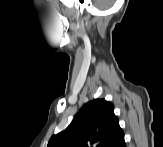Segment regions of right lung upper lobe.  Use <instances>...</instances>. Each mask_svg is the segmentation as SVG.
I'll use <instances>...</instances> for the list:
<instances>
[{
  "label": "right lung upper lobe",
  "mask_w": 163,
  "mask_h": 147,
  "mask_svg": "<svg viewBox=\"0 0 163 147\" xmlns=\"http://www.w3.org/2000/svg\"><path fill=\"white\" fill-rule=\"evenodd\" d=\"M123 135L114 105L95 99L80 109L64 131L53 135L47 147H112Z\"/></svg>",
  "instance_id": "right-lung-upper-lobe-1"
}]
</instances>
